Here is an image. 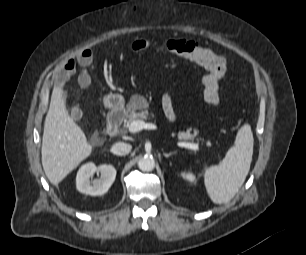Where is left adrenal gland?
<instances>
[{
    "mask_svg": "<svg viewBox=\"0 0 306 255\" xmlns=\"http://www.w3.org/2000/svg\"><path fill=\"white\" fill-rule=\"evenodd\" d=\"M176 154V151H172V152H169V153H163L164 157L168 158L172 155Z\"/></svg>",
    "mask_w": 306,
    "mask_h": 255,
    "instance_id": "a2214340",
    "label": "left adrenal gland"
}]
</instances>
